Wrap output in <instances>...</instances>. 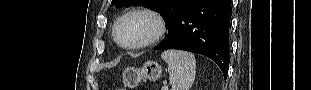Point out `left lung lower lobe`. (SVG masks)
<instances>
[{
  "instance_id": "obj_1",
  "label": "left lung lower lobe",
  "mask_w": 311,
  "mask_h": 90,
  "mask_svg": "<svg viewBox=\"0 0 311 90\" xmlns=\"http://www.w3.org/2000/svg\"><path fill=\"white\" fill-rule=\"evenodd\" d=\"M230 18L231 0H195L154 49H180L205 55L220 67L226 79Z\"/></svg>"
}]
</instances>
